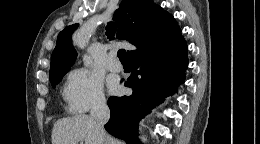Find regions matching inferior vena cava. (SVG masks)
<instances>
[{"label": "inferior vena cava", "instance_id": "inferior-vena-cava-1", "mask_svg": "<svg viewBox=\"0 0 260 144\" xmlns=\"http://www.w3.org/2000/svg\"><path fill=\"white\" fill-rule=\"evenodd\" d=\"M90 116L93 119L97 132L103 134L104 137V125L108 122L110 117V111L104 98H98L94 102ZM100 144H102V142H100Z\"/></svg>", "mask_w": 260, "mask_h": 144}]
</instances>
